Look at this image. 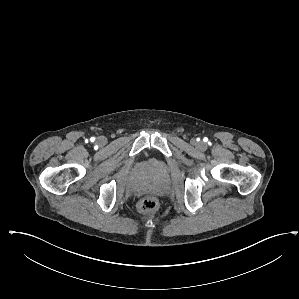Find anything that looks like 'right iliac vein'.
Returning <instances> with one entry per match:
<instances>
[{
	"mask_svg": "<svg viewBox=\"0 0 299 299\" xmlns=\"http://www.w3.org/2000/svg\"><path fill=\"white\" fill-rule=\"evenodd\" d=\"M107 142L106 138L104 136H100L97 138V143L102 146V145H105Z\"/></svg>",
	"mask_w": 299,
	"mask_h": 299,
	"instance_id": "right-iliac-vein-1",
	"label": "right iliac vein"
}]
</instances>
